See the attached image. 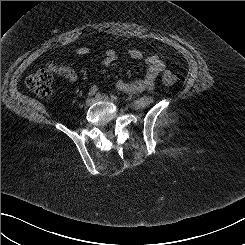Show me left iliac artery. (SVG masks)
Segmentation results:
<instances>
[{"label":"left iliac artery","instance_id":"1","mask_svg":"<svg viewBox=\"0 0 245 245\" xmlns=\"http://www.w3.org/2000/svg\"><path fill=\"white\" fill-rule=\"evenodd\" d=\"M110 97H111V99L114 100V101L118 100V97H117L116 95H114V94H112Z\"/></svg>","mask_w":245,"mask_h":245}]
</instances>
